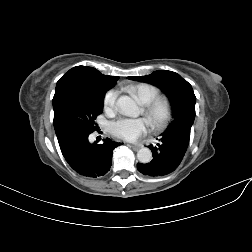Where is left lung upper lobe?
<instances>
[{
	"instance_id": "left-lung-upper-lobe-1",
	"label": "left lung upper lobe",
	"mask_w": 252,
	"mask_h": 252,
	"mask_svg": "<svg viewBox=\"0 0 252 252\" xmlns=\"http://www.w3.org/2000/svg\"><path fill=\"white\" fill-rule=\"evenodd\" d=\"M129 79L153 84L166 93L173 111V121L166 131L180 126L191 128L195 119L196 97L192 86L179 74L159 70L147 76H131Z\"/></svg>"
}]
</instances>
